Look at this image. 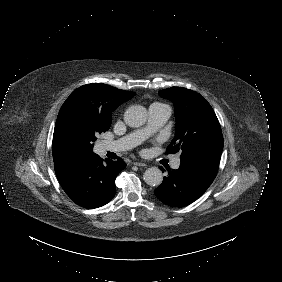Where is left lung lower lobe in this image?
I'll list each match as a JSON object with an SVG mask.
<instances>
[{
  "mask_svg": "<svg viewBox=\"0 0 282 282\" xmlns=\"http://www.w3.org/2000/svg\"><path fill=\"white\" fill-rule=\"evenodd\" d=\"M221 153L199 151L181 159L177 170H168L162 184L154 191L166 205L184 207L198 199L213 182ZM163 170V168H160Z\"/></svg>",
  "mask_w": 282,
  "mask_h": 282,
  "instance_id": "0a47b994",
  "label": "left lung lower lobe"
}]
</instances>
